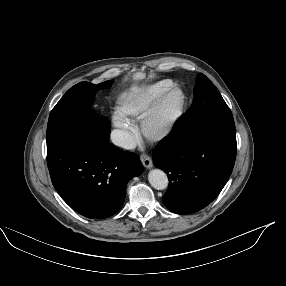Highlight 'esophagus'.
I'll list each match as a JSON object with an SVG mask.
<instances>
[{"label":"esophagus","instance_id":"obj_1","mask_svg":"<svg viewBox=\"0 0 286 286\" xmlns=\"http://www.w3.org/2000/svg\"><path fill=\"white\" fill-rule=\"evenodd\" d=\"M140 160H141V162H142V164H143V166L145 167V168H152L153 167V162H152V160H151V158H150V156H148V155H146V154H142L141 156H140Z\"/></svg>","mask_w":286,"mask_h":286}]
</instances>
